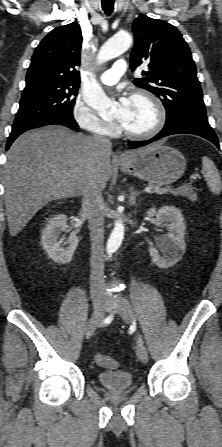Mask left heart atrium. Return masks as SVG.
I'll return each mask as SVG.
<instances>
[{
	"label": "left heart atrium",
	"instance_id": "left-heart-atrium-1",
	"mask_svg": "<svg viewBox=\"0 0 222 447\" xmlns=\"http://www.w3.org/2000/svg\"><path fill=\"white\" fill-rule=\"evenodd\" d=\"M130 100L131 99L127 98V97H121L119 99V104H118L119 117L118 118L121 123H124V121H125V116L129 109V106H130Z\"/></svg>",
	"mask_w": 222,
	"mask_h": 447
}]
</instances>
